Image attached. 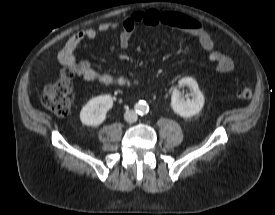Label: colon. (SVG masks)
I'll use <instances>...</instances> for the list:
<instances>
[{
    "mask_svg": "<svg viewBox=\"0 0 275 215\" xmlns=\"http://www.w3.org/2000/svg\"><path fill=\"white\" fill-rule=\"evenodd\" d=\"M237 97L248 100L252 97V90L249 87H241L237 91ZM72 73L65 69L61 72L60 78L43 89L42 103L49 111L60 117L70 114L73 104Z\"/></svg>",
    "mask_w": 275,
    "mask_h": 215,
    "instance_id": "1",
    "label": "colon"
}]
</instances>
